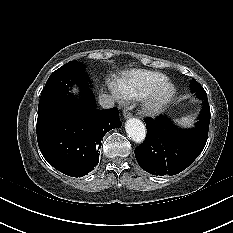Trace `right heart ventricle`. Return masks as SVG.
Returning a JSON list of instances; mask_svg holds the SVG:
<instances>
[{
	"label": "right heart ventricle",
	"instance_id": "1",
	"mask_svg": "<svg viewBox=\"0 0 233 233\" xmlns=\"http://www.w3.org/2000/svg\"><path fill=\"white\" fill-rule=\"evenodd\" d=\"M164 79L166 76L158 72L131 71L116 81L115 90L121 98L140 99Z\"/></svg>",
	"mask_w": 233,
	"mask_h": 233
}]
</instances>
